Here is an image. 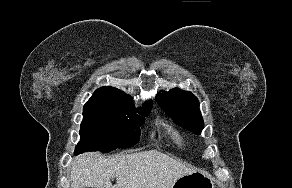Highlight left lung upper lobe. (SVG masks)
<instances>
[{
	"label": "left lung upper lobe",
	"instance_id": "5c2ea615",
	"mask_svg": "<svg viewBox=\"0 0 292 188\" xmlns=\"http://www.w3.org/2000/svg\"><path fill=\"white\" fill-rule=\"evenodd\" d=\"M156 99L160 107L173 116L179 124L196 134H201L204 128L203 118L198 99L192 93L174 88L158 95Z\"/></svg>",
	"mask_w": 292,
	"mask_h": 188
}]
</instances>
